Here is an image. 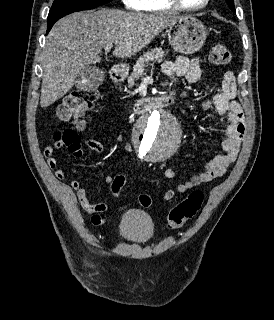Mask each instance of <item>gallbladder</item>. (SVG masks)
<instances>
[{
	"instance_id": "1",
	"label": "gallbladder",
	"mask_w": 274,
	"mask_h": 320,
	"mask_svg": "<svg viewBox=\"0 0 274 320\" xmlns=\"http://www.w3.org/2000/svg\"><path fill=\"white\" fill-rule=\"evenodd\" d=\"M104 74V68H94V66L81 68L79 76L75 78L74 86L81 90H96L97 85L104 80Z\"/></svg>"
}]
</instances>
